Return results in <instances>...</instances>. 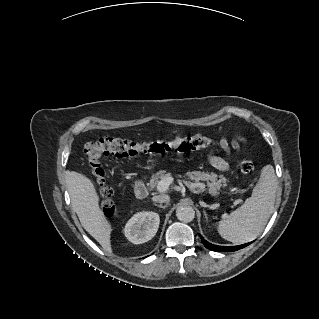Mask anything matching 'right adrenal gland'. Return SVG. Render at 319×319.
Here are the masks:
<instances>
[{
  "label": "right adrenal gland",
  "instance_id": "right-adrenal-gland-1",
  "mask_svg": "<svg viewBox=\"0 0 319 319\" xmlns=\"http://www.w3.org/2000/svg\"><path fill=\"white\" fill-rule=\"evenodd\" d=\"M154 205L157 206V207H160V208L165 209L169 204H166V205L163 206L162 204H156V203H154Z\"/></svg>",
  "mask_w": 319,
  "mask_h": 319
}]
</instances>
